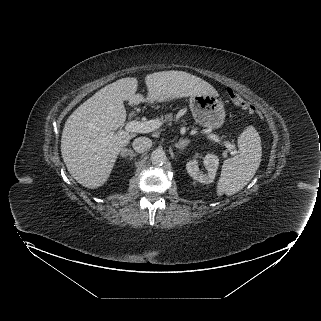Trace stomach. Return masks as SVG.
Returning a JSON list of instances; mask_svg holds the SVG:
<instances>
[{
	"mask_svg": "<svg viewBox=\"0 0 321 321\" xmlns=\"http://www.w3.org/2000/svg\"><path fill=\"white\" fill-rule=\"evenodd\" d=\"M189 102L193 117L200 125L209 129H216L223 125L224 104L216 95H193L190 96Z\"/></svg>",
	"mask_w": 321,
	"mask_h": 321,
	"instance_id": "stomach-1",
	"label": "stomach"
}]
</instances>
